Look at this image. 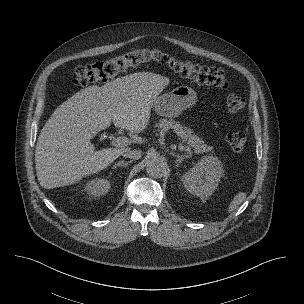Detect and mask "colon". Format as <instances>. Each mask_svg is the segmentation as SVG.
Here are the masks:
<instances>
[{
  "instance_id": "5ec220e1",
  "label": "colon",
  "mask_w": 304,
  "mask_h": 304,
  "mask_svg": "<svg viewBox=\"0 0 304 304\" xmlns=\"http://www.w3.org/2000/svg\"><path fill=\"white\" fill-rule=\"evenodd\" d=\"M150 62L167 64L184 78L199 85L217 88L228 86V79L223 69L201 66L152 48L132 50L104 61L78 66L72 72V82L76 86L104 82L122 72ZM245 105V99L238 94L231 93L226 97L225 106L229 113H238L244 109ZM226 140L233 152L242 153L246 148L247 134L243 131L230 132Z\"/></svg>"
}]
</instances>
